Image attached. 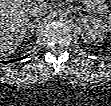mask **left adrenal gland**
I'll return each instance as SVG.
<instances>
[{
	"instance_id": "1",
	"label": "left adrenal gland",
	"mask_w": 111,
	"mask_h": 106,
	"mask_svg": "<svg viewBox=\"0 0 111 106\" xmlns=\"http://www.w3.org/2000/svg\"><path fill=\"white\" fill-rule=\"evenodd\" d=\"M69 8H70V10H72L74 13H76V12L79 11V10L86 11L85 8H82L81 6H72V5H70Z\"/></svg>"
}]
</instances>
